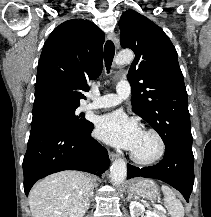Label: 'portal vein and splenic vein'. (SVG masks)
<instances>
[{
    "instance_id": "1",
    "label": "portal vein and splenic vein",
    "mask_w": 211,
    "mask_h": 217,
    "mask_svg": "<svg viewBox=\"0 0 211 217\" xmlns=\"http://www.w3.org/2000/svg\"><path fill=\"white\" fill-rule=\"evenodd\" d=\"M154 207L157 208L158 210H163V207L161 205L154 204Z\"/></svg>"
}]
</instances>
